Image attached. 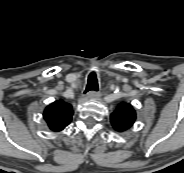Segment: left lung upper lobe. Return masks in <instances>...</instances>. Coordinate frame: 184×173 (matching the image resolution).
I'll return each mask as SVG.
<instances>
[{"mask_svg": "<svg viewBox=\"0 0 184 173\" xmlns=\"http://www.w3.org/2000/svg\"><path fill=\"white\" fill-rule=\"evenodd\" d=\"M135 119V110L127 103H121L110 116L111 124L117 132H125L130 129Z\"/></svg>", "mask_w": 184, "mask_h": 173, "instance_id": "5c2ea615", "label": "left lung upper lobe"}]
</instances>
